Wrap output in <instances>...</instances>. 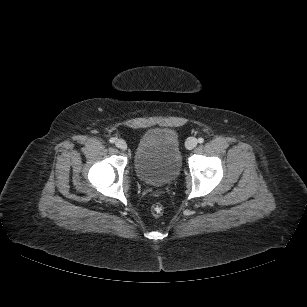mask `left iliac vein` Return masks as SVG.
Returning a JSON list of instances; mask_svg holds the SVG:
<instances>
[{"label": "left iliac vein", "instance_id": "1", "mask_svg": "<svg viewBox=\"0 0 307 307\" xmlns=\"http://www.w3.org/2000/svg\"><path fill=\"white\" fill-rule=\"evenodd\" d=\"M186 148L188 150H192L196 147L197 145V140L194 138V137H189L187 140H186Z\"/></svg>", "mask_w": 307, "mask_h": 307}]
</instances>
